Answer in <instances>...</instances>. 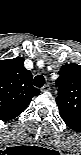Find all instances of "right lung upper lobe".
<instances>
[{"label":"right lung upper lobe","instance_id":"obj_1","mask_svg":"<svg viewBox=\"0 0 81 155\" xmlns=\"http://www.w3.org/2000/svg\"><path fill=\"white\" fill-rule=\"evenodd\" d=\"M40 90L32 85V74L24 58L0 61V119L9 121L20 115Z\"/></svg>","mask_w":81,"mask_h":155}]
</instances>
